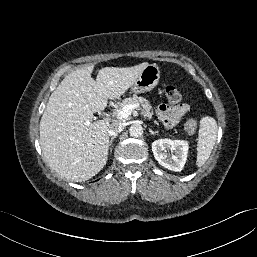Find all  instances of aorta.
I'll use <instances>...</instances> for the list:
<instances>
[{
  "mask_svg": "<svg viewBox=\"0 0 257 257\" xmlns=\"http://www.w3.org/2000/svg\"><path fill=\"white\" fill-rule=\"evenodd\" d=\"M129 133L132 137H140L143 134V127L138 123H134L129 129Z\"/></svg>",
  "mask_w": 257,
  "mask_h": 257,
  "instance_id": "762f6f07",
  "label": "aorta"
}]
</instances>
